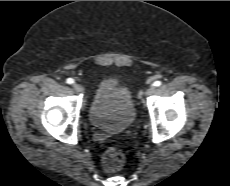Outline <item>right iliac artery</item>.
I'll return each instance as SVG.
<instances>
[{
  "mask_svg": "<svg viewBox=\"0 0 230 186\" xmlns=\"http://www.w3.org/2000/svg\"><path fill=\"white\" fill-rule=\"evenodd\" d=\"M66 82H67L68 84H74V83H75V81H74L72 78H68V79L66 80Z\"/></svg>",
  "mask_w": 230,
  "mask_h": 186,
  "instance_id": "1",
  "label": "right iliac artery"
}]
</instances>
